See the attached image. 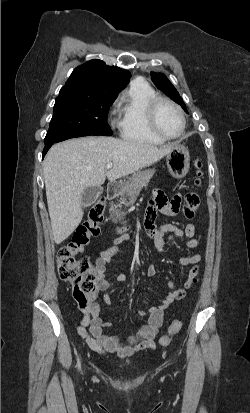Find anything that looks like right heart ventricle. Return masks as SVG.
<instances>
[{
  "label": "right heart ventricle",
  "mask_w": 250,
  "mask_h": 413,
  "mask_svg": "<svg viewBox=\"0 0 250 413\" xmlns=\"http://www.w3.org/2000/svg\"><path fill=\"white\" fill-rule=\"evenodd\" d=\"M157 92L145 81L134 80L124 92L120 103L119 129L123 139L131 142L159 145L164 140L154 136L147 123V108Z\"/></svg>",
  "instance_id": "1"
}]
</instances>
